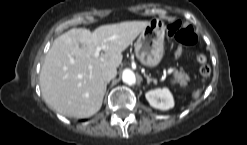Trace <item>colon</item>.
Returning a JSON list of instances; mask_svg holds the SVG:
<instances>
[{"instance_id":"5ec220e1","label":"colon","mask_w":247,"mask_h":145,"mask_svg":"<svg viewBox=\"0 0 247 145\" xmlns=\"http://www.w3.org/2000/svg\"><path fill=\"white\" fill-rule=\"evenodd\" d=\"M167 35L184 46H193L198 41L194 29L190 26H182L180 20H175L168 25ZM196 58L200 64V75L203 80H206L211 74V68L207 63V57L204 54L200 53L197 55Z\"/></svg>"}]
</instances>
